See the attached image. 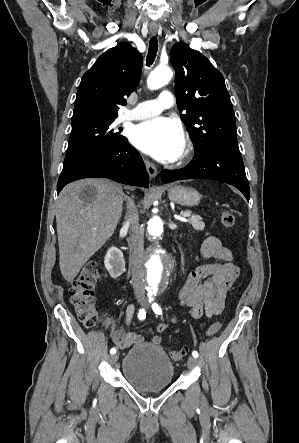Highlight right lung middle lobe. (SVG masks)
Masks as SVG:
<instances>
[{
    "label": "right lung middle lobe",
    "instance_id": "1",
    "mask_svg": "<svg viewBox=\"0 0 299 443\" xmlns=\"http://www.w3.org/2000/svg\"><path fill=\"white\" fill-rule=\"evenodd\" d=\"M117 117L87 118L72 123L63 170L95 153L109 150L126 141L121 128L113 124Z\"/></svg>",
    "mask_w": 299,
    "mask_h": 443
}]
</instances>
